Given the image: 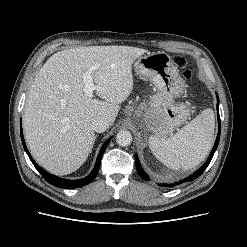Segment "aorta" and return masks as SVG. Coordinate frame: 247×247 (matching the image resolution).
Segmentation results:
<instances>
[{
  "instance_id": "obj_1",
  "label": "aorta",
  "mask_w": 247,
  "mask_h": 247,
  "mask_svg": "<svg viewBox=\"0 0 247 247\" xmlns=\"http://www.w3.org/2000/svg\"><path fill=\"white\" fill-rule=\"evenodd\" d=\"M116 142L123 147L129 146L132 143V135L127 130H120L116 135Z\"/></svg>"
}]
</instances>
